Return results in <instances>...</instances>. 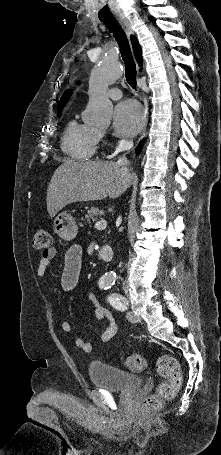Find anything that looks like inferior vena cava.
<instances>
[{
	"instance_id": "602c4592",
	"label": "inferior vena cava",
	"mask_w": 221,
	"mask_h": 455,
	"mask_svg": "<svg viewBox=\"0 0 221 455\" xmlns=\"http://www.w3.org/2000/svg\"><path fill=\"white\" fill-rule=\"evenodd\" d=\"M117 164L120 165L121 167H123L124 169H127V166L129 165V161L127 160V158L125 156H122L117 161Z\"/></svg>"
}]
</instances>
